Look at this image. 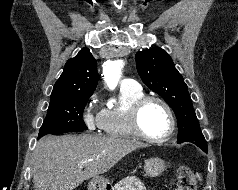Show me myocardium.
Masks as SVG:
<instances>
[{"mask_svg":"<svg viewBox=\"0 0 238 190\" xmlns=\"http://www.w3.org/2000/svg\"><path fill=\"white\" fill-rule=\"evenodd\" d=\"M153 102L160 104L165 109L170 119L169 130L165 135L161 137H152L148 135L147 133H145V131L142 129L141 122H140V117H141V113L143 109L149 103H153ZM129 123L133 133L138 138L145 140L147 142H151V143H162L169 140L176 129V118L172 108L169 106V104L166 101L156 96H143L137 101H135L130 108Z\"/></svg>","mask_w":238,"mask_h":190,"instance_id":"f54148a6","label":"myocardium"}]
</instances>
